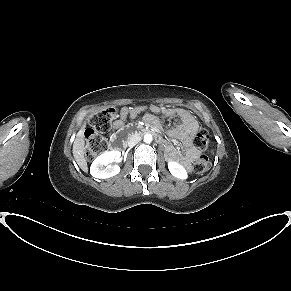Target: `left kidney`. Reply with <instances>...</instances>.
I'll return each mask as SVG.
<instances>
[{
    "label": "left kidney",
    "instance_id": "left-kidney-1",
    "mask_svg": "<svg viewBox=\"0 0 291 291\" xmlns=\"http://www.w3.org/2000/svg\"><path fill=\"white\" fill-rule=\"evenodd\" d=\"M170 173L179 179H187L188 175L185 168L177 162L171 161L168 163Z\"/></svg>",
    "mask_w": 291,
    "mask_h": 291
}]
</instances>
